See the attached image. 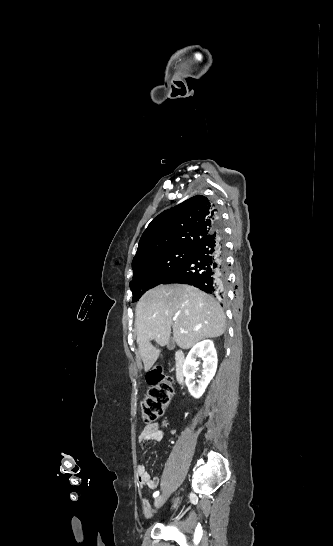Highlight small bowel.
<instances>
[{"label": "small bowel", "instance_id": "c3829d8e", "mask_svg": "<svg viewBox=\"0 0 333 546\" xmlns=\"http://www.w3.org/2000/svg\"><path fill=\"white\" fill-rule=\"evenodd\" d=\"M164 432L158 425L145 427L139 435V444L144 446L148 442H160L163 439ZM138 482L141 487L156 489L159 484L157 477H152L143 464L137 466ZM143 514L146 517L151 516V510L147 499L142 501Z\"/></svg>", "mask_w": 333, "mask_h": 546}]
</instances>
